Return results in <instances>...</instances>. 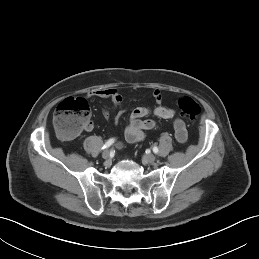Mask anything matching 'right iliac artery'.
Here are the masks:
<instances>
[{
	"label": "right iliac artery",
	"instance_id": "obj_1",
	"mask_svg": "<svg viewBox=\"0 0 259 259\" xmlns=\"http://www.w3.org/2000/svg\"><path fill=\"white\" fill-rule=\"evenodd\" d=\"M115 139H109L102 147V149H107L109 148L113 143H114Z\"/></svg>",
	"mask_w": 259,
	"mask_h": 259
}]
</instances>
